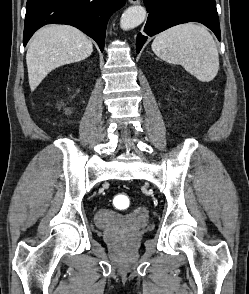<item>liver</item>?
I'll list each match as a JSON object with an SVG mask.
<instances>
[{
  "label": "liver",
  "mask_w": 249,
  "mask_h": 294,
  "mask_svg": "<svg viewBox=\"0 0 249 294\" xmlns=\"http://www.w3.org/2000/svg\"><path fill=\"white\" fill-rule=\"evenodd\" d=\"M93 51L92 42L79 29L68 25H48L39 29L26 54L28 79L34 91L52 70L82 61Z\"/></svg>",
  "instance_id": "1"
}]
</instances>
